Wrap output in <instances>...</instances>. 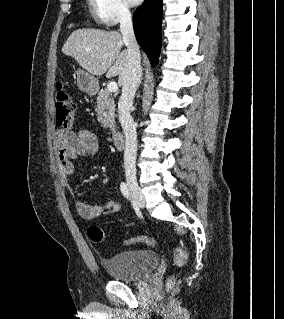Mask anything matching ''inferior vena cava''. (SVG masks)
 Here are the masks:
<instances>
[{"mask_svg": "<svg viewBox=\"0 0 284 319\" xmlns=\"http://www.w3.org/2000/svg\"><path fill=\"white\" fill-rule=\"evenodd\" d=\"M120 31L127 46L129 63L123 79L122 94L118 101V114L125 135L124 168L126 171H134L137 156V134L136 125L130 115V108L141 83L142 68L131 13L126 8L120 11Z\"/></svg>", "mask_w": 284, "mask_h": 319, "instance_id": "inferior-vena-cava-1", "label": "inferior vena cava"}]
</instances>
